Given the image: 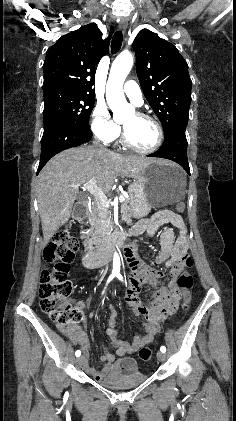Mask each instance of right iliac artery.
<instances>
[{
  "label": "right iliac artery",
  "mask_w": 236,
  "mask_h": 421,
  "mask_svg": "<svg viewBox=\"0 0 236 421\" xmlns=\"http://www.w3.org/2000/svg\"><path fill=\"white\" fill-rule=\"evenodd\" d=\"M116 276V274H111L110 276H109V278H108V280H107V284L114 278ZM106 284V285H107ZM106 288V287H105ZM103 293H104V291H103ZM75 355H76V357H79L80 355H81V351L80 350H77L76 352H75Z\"/></svg>",
  "instance_id": "82829eb1"
}]
</instances>
